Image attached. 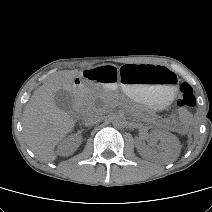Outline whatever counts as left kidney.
I'll list each match as a JSON object with an SVG mask.
<instances>
[{"label":"left kidney","instance_id":"obj_1","mask_svg":"<svg viewBox=\"0 0 212 212\" xmlns=\"http://www.w3.org/2000/svg\"><path fill=\"white\" fill-rule=\"evenodd\" d=\"M155 140H159V149L161 150V158L164 162L175 161L180 152V143L175 135L163 130H156L152 134ZM139 154L147 158L152 154V150L141 142L137 143Z\"/></svg>","mask_w":212,"mask_h":212}]
</instances>
